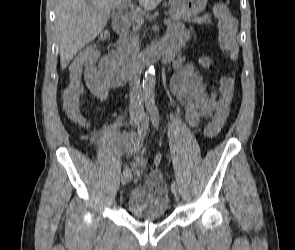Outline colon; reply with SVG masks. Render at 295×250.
<instances>
[{"label":"colon","mask_w":295,"mask_h":250,"mask_svg":"<svg viewBox=\"0 0 295 250\" xmlns=\"http://www.w3.org/2000/svg\"><path fill=\"white\" fill-rule=\"evenodd\" d=\"M215 15L218 19L219 42L221 49L228 58L234 59L237 53L236 47V21L231 16L223 4H217L214 8ZM102 39V37L100 38ZM84 50L96 52V45L87 46ZM235 83L232 76L228 75L221 79L220 82V106L219 113L209 122L205 133L208 137L216 136L224 125L230 110L231 101L234 94ZM80 80L68 78V83L63 91L62 101L63 110L67 117L79 125H85L86 121L79 107V96L81 94Z\"/></svg>","instance_id":"5ec220e1"}]
</instances>
